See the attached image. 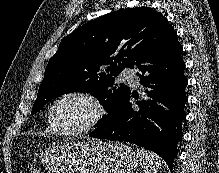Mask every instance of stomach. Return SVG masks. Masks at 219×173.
Returning <instances> with one entry per match:
<instances>
[{"mask_svg": "<svg viewBox=\"0 0 219 173\" xmlns=\"http://www.w3.org/2000/svg\"><path fill=\"white\" fill-rule=\"evenodd\" d=\"M139 158L122 142H60L46 148L42 164L51 173H133Z\"/></svg>", "mask_w": 219, "mask_h": 173, "instance_id": "1", "label": "stomach"}]
</instances>
